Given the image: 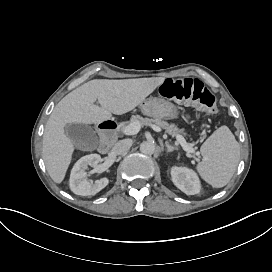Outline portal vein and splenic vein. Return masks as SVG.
Masks as SVG:
<instances>
[{
    "mask_svg": "<svg viewBox=\"0 0 272 272\" xmlns=\"http://www.w3.org/2000/svg\"><path fill=\"white\" fill-rule=\"evenodd\" d=\"M140 126L137 123H132L128 126L122 128V133L126 136L135 135L139 132ZM177 142L180 144L182 149L188 153L192 152V147L187 143V141L182 137L178 136Z\"/></svg>",
    "mask_w": 272,
    "mask_h": 272,
    "instance_id": "18ae733b",
    "label": "portal vein and splenic vein"
}]
</instances>
